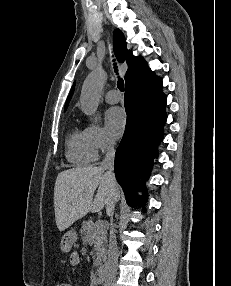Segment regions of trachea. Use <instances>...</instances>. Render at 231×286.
Here are the masks:
<instances>
[{"mask_svg": "<svg viewBox=\"0 0 231 286\" xmlns=\"http://www.w3.org/2000/svg\"><path fill=\"white\" fill-rule=\"evenodd\" d=\"M115 72L118 74L116 63H114ZM117 87L121 92H124V81L122 78H118Z\"/></svg>", "mask_w": 231, "mask_h": 286, "instance_id": "obj_1", "label": "trachea"}]
</instances>
